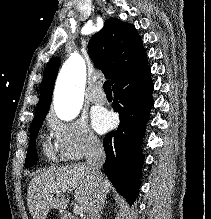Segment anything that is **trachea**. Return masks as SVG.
<instances>
[{
	"mask_svg": "<svg viewBox=\"0 0 211 219\" xmlns=\"http://www.w3.org/2000/svg\"><path fill=\"white\" fill-rule=\"evenodd\" d=\"M103 88H104L105 92H111V85H110L109 80L104 82Z\"/></svg>",
	"mask_w": 211,
	"mask_h": 219,
	"instance_id": "trachea-1",
	"label": "trachea"
}]
</instances>
